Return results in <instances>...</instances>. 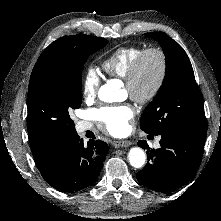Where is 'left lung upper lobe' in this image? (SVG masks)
Wrapping results in <instances>:
<instances>
[{
	"label": "left lung upper lobe",
	"instance_id": "obj_1",
	"mask_svg": "<svg viewBox=\"0 0 221 221\" xmlns=\"http://www.w3.org/2000/svg\"><path fill=\"white\" fill-rule=\"evenodd\" d=\"M146 36L160 42L166 56V74L158 94L143 112L141 129L153 135L174 127L207 129L203 97L187 54L163 32H150Z\"/></svg>",
	"mask_w": 221,
	"mask_h": 221
}]
</instances>
